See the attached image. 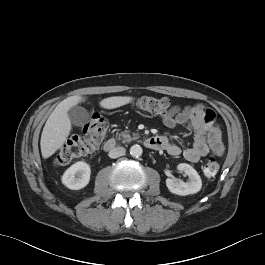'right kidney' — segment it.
I'll use <instances>...</instances> for the list:
<instances>
[{"mask_svg":"<svg viewBox=\"0 0 265 265\" xmlns=\"http://www.w3.org/2000/svg\"><path fill=\"white\" fill-rule=\"evenodd\" d=\"M90 166L79 161L70 166L62 176V183L71 190L84 188L90 181Z\"/></svg>","mask_w":265,"mask_h":265,"instance_id":"obj_1","label":"right kidney"}]
</instances>
